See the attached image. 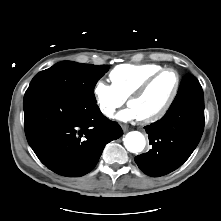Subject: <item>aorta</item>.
Wrapping results in <instances>:
<instances>
[{
  "mask_svg": "<svg viewBox=\"0 0 221 221\" xmlns=\"http://www.w3.org/2000/svg\"><path fill=\"white\" fill-rule=\"evenodd\" d=\"M125 148L132 153L141 152L145 147V137L138 131L127 133L123 139Z\"/></svg>",
  "mask_w": 221,
  "mask_h": 221,
  "instance_id": "aorta-1",
  "label": "aorta"
}]
</instances>
